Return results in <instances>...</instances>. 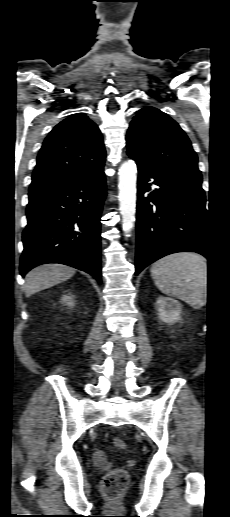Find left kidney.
Here are the masks:
<instances>
[{
    "label": "left kidney",
    "instance_id": "5707ae66",
    "mask_svg": "<svg viewBox=\"0 0 230 517\" xmlns=\"http://www.w3.org/2000/svg\"><path fill=\"white\" fill-rule=\"evenodd\" d=\"M158 315L165 323H175L180 319L181 304L172 298L159 297L156 300Z\"/></svg>",
    "mask_w": 230,
    "mask_h": 517
}]
</instances>
